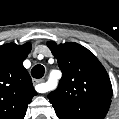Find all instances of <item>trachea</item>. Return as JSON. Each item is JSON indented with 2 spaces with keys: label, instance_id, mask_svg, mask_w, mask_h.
Returning <instances> with one entry per match:
<instances>
[{
  "label": "trachea",
  "instance_id": "obj_1",
  "mask_svg": "<svg viewBox=\"0 0 119 119\" xmlns=\"http://www.w3.org/2000/svg\"><path fill=\"white\" fill-rule=\"evenodd\" d=\"M44 73L45 68L42 65H36L31 70V75L36 79L42 78L44 76Z\"/></svg>",
  "mask_w": 119,
  "mask_h": 119
}]
</instances>
